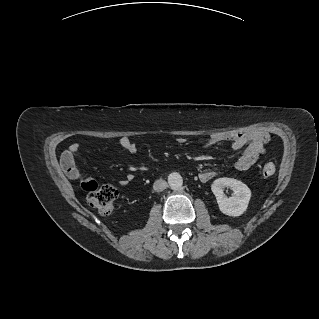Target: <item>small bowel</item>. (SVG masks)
<instances>
[{
	"instance_id": "1",
	"label": "small bowel",
	"mask_w": 319,
	"mask_h": 319,
	"mask_svg": "<svg viewBox=\"0 0 319 319\" xmlns=\"http://www.w3.org/2000/svg\"><path fill=\"white\" fill-rule=\"evenodd\" d=\"M268 140V135L262 131L256 130L252 132H227L218 133L210 137L206 142V148H214L220 144L228 143L232 149L240 150L244 148L242 155L235 163L236 169L246 171L253 166L264 152V146ZM120 146L130 154L137 152L136 144L127 136H123L119 140ZM70 175L77 177L78 174L74 168H71ZM215 171H202L198 174L201 182H208L215 178ZM132 180V175L121 179L118 184L126 186Z\"/></svg>"
}]
</instances>
